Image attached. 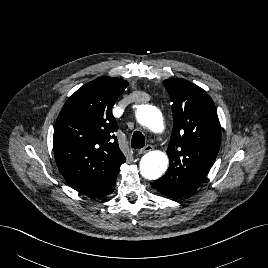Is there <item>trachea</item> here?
<instances>
[{
	"label": "trachea",
	"instance_id": "trachea-1",
	"mask_svg": "<svg viewBox=\"0 0 268 268\" xmlns=\"http://www.w3.org/2000/svg\"><path fill=\"white\" fill-rule=\"evenodd\" d=\"M131 146L134 149H141L145 146V137L139 132L135 131L132 135Z\"/></svg>",
	"mask_w": 268,
	"mask_h": 268
}]
</instances>
